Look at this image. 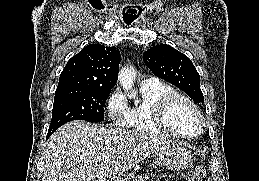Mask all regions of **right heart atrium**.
<instances>
[{
    "label": "right heart atrium",
    "mask_w": 259,
    "mask_h": 181,
    "mask_svg": "<svg viewBox=\"0 0 259 181\" xmlns=\"http://www.w3.org/2000/svg\"><path fill=\"white\" fill-rule=\"evenodd\" d=\"M106 110L113 125L124 127L128 119L129 106L122 92L115 89L106 100Z\"/></svg>",
    "instance_id": "d8ad5b80"
}]
</instances>
